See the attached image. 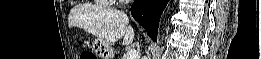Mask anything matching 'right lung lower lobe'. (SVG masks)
<instances>
[{
	"label": "right lung lower lobe",
	"instance_id": "right-lung-lower-lobe-1",
	"mask_svg": "<svg viewBox=\"0 0 261 59\" xmlns=\"http://www.w3.org/2000/svg\"><path fill=\"white\" fill-rule=\"evenodd\" d=\"M169 0H135L131 6L133 18L141 24L153 41H157V30L161 14Z\"/></svg>",
	"mask_w": 261,
	"mask_h": 59
}]
</instances>
